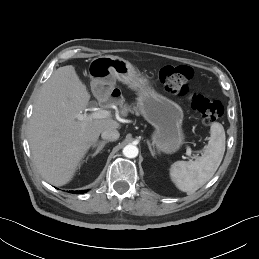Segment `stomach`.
Wrapping results in <instances>:
<instances>
[{
    "label": "stomach",
    "instance_id": "0dacf381",
    "mask_svg": "<svg viewBox=\"0 0 259 259\" xmlns=\"http://www.w3.org/2000/svg\"><path fill=\"white\" fill-rule=\"evenodd\" d=\"M91 88L95 94H108L120 81L137 94V107L155 128L152 143L159 151L176 152L184 143V113L174 101L157 93L151 82L127 60L118 56H100L89 65Z\"/></svg>",
    "mask_w": 259,
    "mask_h": 259
}]
</instances>
